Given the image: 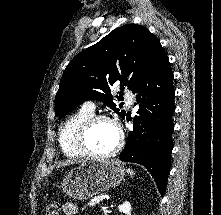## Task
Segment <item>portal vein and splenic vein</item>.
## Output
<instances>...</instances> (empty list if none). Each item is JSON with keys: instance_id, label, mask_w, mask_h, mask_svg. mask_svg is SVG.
I'll use <instances>...</instances> for the list:
<instances>
[{"instance_id": "obj_1", "label": "portal vein and splenic vein", "mask_w": 221, "mask_h": 215, "mask_svg": "<svg viewBox=\"0 0 221 215\" xmlns=\"http://www.w3.org/2000/svg\"><path fill=\"white\" fill-rule=\"evenodd\" d=\"M100 197H101V199L103 200V199L106 198V195H101Z\"/></svg>"}]
</instances>
